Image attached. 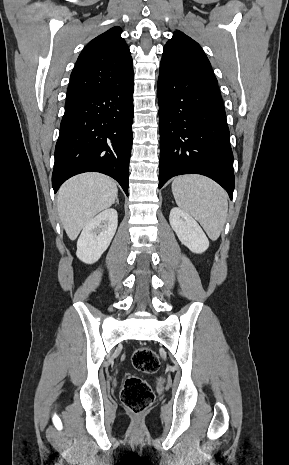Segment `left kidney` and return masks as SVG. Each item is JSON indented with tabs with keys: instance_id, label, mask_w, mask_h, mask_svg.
Segmentation results:
<instances>
[{
	"instance_id": "obj_1",
	"label": "left kidney",
	"mask_w": 289,
	"mask_h": 465,
	"mask_svg": "<svg viewBox=\"0 0 289 465\" xmlns=\"http://www.w3.org/2000/svg\"><path fill=\"white\" fill-rule=\"evenodd\" d=\"M169 222L181 243L193 253H203L208 249V238L199 224L188 213L174 207L170 211Z\"/></svg>"
}]
</instances>
